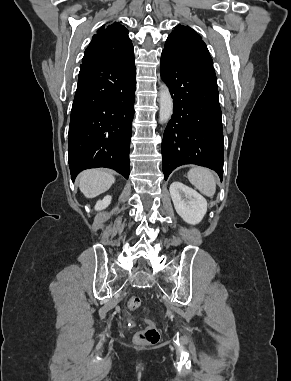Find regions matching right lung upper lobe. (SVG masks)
I'll return each mask as SVG.
<instances>
[{"instance_id":"obj_1","label":"right lung upper lobe","mask_w":291,"mask_h":381,"mask_svg":"<svg viewBox=\"0 0 291 381\" xmlns=\"http://www.w3.org/2000/svg\"><path fill=\"white\" fill-rule=\"evenodd\" d=\"M133 52L128 30L120 23L103 25L85 50L83 61L112 60Z\"/></svg>"}]
</instances>
